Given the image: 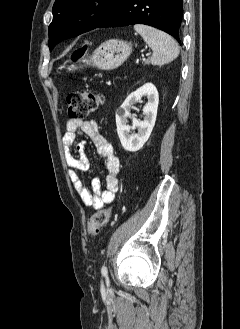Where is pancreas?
Segmentation results:
<instances>
[{"mask_svg":"<svg viewBox=\"0 0 240 329\" xmlns=\"http://www.w3.org/2000/svg\"><path fill=\"white\" fill-rule=\"evenodd\" d=\"M149 63V61H145V64H148Z\"/></svg>","mask_w":240,"mask_h":329,"instance_id":"obj_1","label":"pancreas"}]
</instances>
